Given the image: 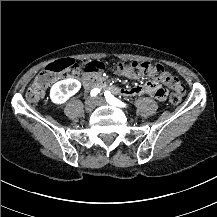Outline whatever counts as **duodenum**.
<instances>
[{"instance_id":"1","label":"duodenum","mask_w":217,"mask_h":217,"mask_svg":"<svg viewBox=\"0 0 217 217\" xmlns=\"http://www.w3.org/2000/svg\"><path fill=\"white\" fill-rule=\"evenodd\" d=\"M86 89L100 88L111 94H120L123 89L117 86L110 85L104 78L95 74H88L83 80Z\"/></svg>"}]
</instances>
